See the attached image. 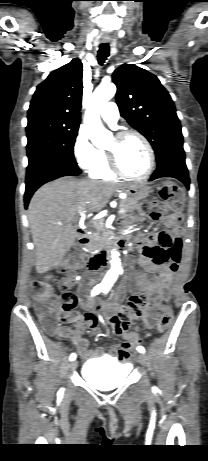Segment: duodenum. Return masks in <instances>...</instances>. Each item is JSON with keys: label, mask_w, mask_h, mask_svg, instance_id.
<instances>
[{"label": "duodenum", "mask_w": 208, "mask_h": 461, "mask_svg": "<svg viewBox=\"0 0 208 461\" xmlns=\"http://www.w3.org/2000/svg\"><path fill=\"white\" fill-rule=\"evenodd\" d=\"M127 236L124 233H121L117 237V242L119 244H125L127 241ZM77 241L80 245H86L89 242V236L83 231V230H77ZM109 242H107L105 245H108ZM107 259V248H102L98 253H96L88 262V267L91 271H96L98 270L101 266H103L106 262ZM87 286V284H82L81 290H84V288Z\"/></svg>", "instance_id": "obj_1"}]
</instances>
